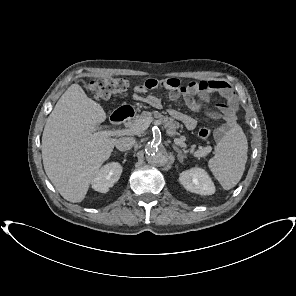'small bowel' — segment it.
<instances>
[{
  "label": "small bowel",
  "instance_id": "small-bowel-1",
  "mask_svg": "<svg viewBox=\"0 0 296 296\" xmlns=\"http://www.w3.org/2000/svg\"><path fill=\"white\" fill-rule=\"evenodd\" d=\"M157 87L166 89L169 98L173 101L183 98L186 105L193 111L202 108L210 93H219L222 102L218 105L217 112L211 114V116L221 120V125L216 130L218 138H223L235 123L238 103L232 87L225 81L200 80L182 85L176 78L164 80L150 78L135 86L132 97L136 101H143L155 108H159L161 101L155 96L146 95L149 90ZM169 115L180 121L188 130H194L197 126L196 119L186 113L170 109Z\"/></svg>",
  "mask_w": 296,
  "mask_h": 296
}]
</instances>
